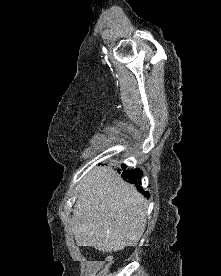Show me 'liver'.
Returning <instances> with one entry per match:
<instances>
[{
    "instance_id": "6515ba94",
    "label": "liver",
    "mask_w": 221,
    "mask_h": 276,
    "mask_svg": "<svg viewBox=\"0 0 221 276\" xmlns=\"http://www.w3.org/2000/svg\"><path fill=\"white\" fill-rule=\"evenodd\" d=\"M147 201L110 167H97L81 180L72 231L78 246L112 252L134 246L146 227Z\"/></svg>"
}]
</instances>
